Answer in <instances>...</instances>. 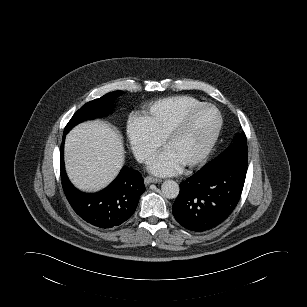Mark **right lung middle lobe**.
Instances as JSON below:
<instances>
[{"instance_id": "1", "label": "right lung middle lobe", "mask_w": 307, "mask_h": 307, "mask_svg": "<svg viewBox=\"0 0 307 307\" xmlns=\"http://www.w3.org/2000/svg\"><path fill=\"white\" fill-rule=\"evenodd\" d=\"M122 93V91L110 92L99 99H95L86 103L70 119L65 127L64 134H67L72 127L82 121L94 119L96 117L108 114L112 110L113 101L118 96L122 95Z\"/></svg>"}]
</instances>
